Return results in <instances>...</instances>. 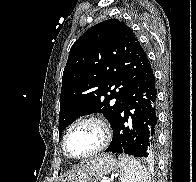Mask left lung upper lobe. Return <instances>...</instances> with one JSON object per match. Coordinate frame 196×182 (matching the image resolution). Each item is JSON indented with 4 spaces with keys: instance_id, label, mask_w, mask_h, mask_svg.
Segmentation results:
<instances>
[{
    "instance_id": "obj_1",
    "label": "left lung upper lobe",
    "mask_w": 196,
    "mask_h": 182,
    "mask_svg": "<svg viewBox=\"0 0 196 182\" xmlns=\"http://www.w3.org/2000/svg\"><path fill=\"white\" fill-rule=\"evenodd\" d=\"M149 65L133 31L117 19L87 30L71 47L62 77L59 133L80 116L103 113L112 129L120 107Z\"/></svg>"
}]
</instances>
